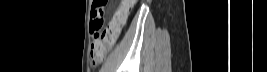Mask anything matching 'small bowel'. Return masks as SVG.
Returning a JSON list of instances; mask_svg holds the SVG:
<instances>
[{"instance_id":"obj_1","label":"small bowel","mask_w":267,"mask_h":72,"mask_svg":"<svg viewBox=\"0 0 267 72\" xmlns=\"http://www.w3.org/2000/svg\"><path fill=\"white\" fill-rule=\"evenodd\" d=\"M133 5H134L133 0H123V1H121L120 6L117 9V10H120L121 13H116V11H115L111 23L117 24L119 26V31L123 27V25L125 24L127 17H128V14H129L130 10L132 9Z\"/></svg>"}]
</instances>
